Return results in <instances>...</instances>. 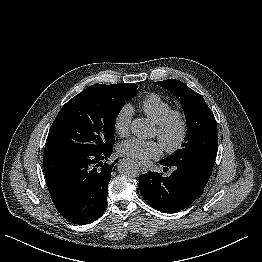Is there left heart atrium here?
I'll list each match as a JSON object with an SVG mask.
<instances>
[{"label": "left heart atrium", "instance_id": "left-heart-atrium-1", "mask_svg": "<svg viewBox=\"0 0 262 262\" xmlns=\"http://www.w3.org/2000/svg\"><path fill=\"white\" fill-rule=\"evenodd\" d=\"M118 151L121 155L144 162L158 158L162 153V146L154 140L131 138L121 142Z\"/></svg>", "mask_w": 262, "mask_h": 262}]
</instances>
